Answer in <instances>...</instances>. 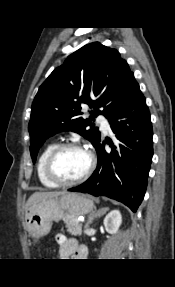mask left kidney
<instances>
[{"instance_id": "left-kidney-1", "label": "left kidney", "mask_w": 175, "mask_h": 287, "mask_svg": "<svg viewBox=\"0 0 175 287\" xmlns=\"http://www.w3.org/2000/svg\"><path fill=\"white\" fill-rule=\"evenodd\" d=\"M104 226L108 233L115 234L122 223V216L119 210H113L109 212L104 218Z\"/></svg>"}]
</instances>
